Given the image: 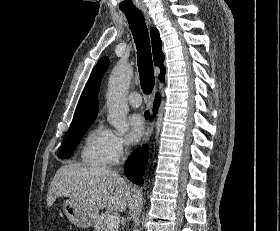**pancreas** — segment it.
<instances>
[{"mask_svg": "<svg viewBox=\"0 0 280 231\" xmlns=\"http://www.w3.org/2000/svg\"><path fill=\"white\" fill-rule=\"evenodd\" d=\"M110 215H114V213L112 211H103L102 215H99L97 221H95V231H118V227H107Z\"/></svg>", "mask_w": 280, "mask_h": 231, "instance_id": "1", "label": "pancreas"}]
</instances>
